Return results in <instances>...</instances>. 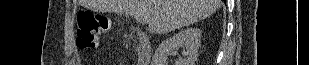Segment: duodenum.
Returning <instances> with one entry per match:
<instances>
[{
    "label": "duodenum",
    "instance_id": "410a0bca",
    "mask_svg": "<svg viewBox=\"0 0 309 65\" xmlns=\"http://www.w3.org/2000/svg\"><path fill=\"white\" fill-rule=\"evenodd\" d=\"M151 59V44L149 38L141 34L138 36V64L149 65Z\"/></svg>",
    "mask_w": 309,
    "mask_h": 65
}]
</instances>
